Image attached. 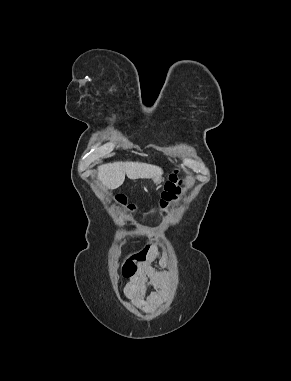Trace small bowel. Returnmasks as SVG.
Listing matches in <instances>:
<instances>
[{
  "label": "small bowel",
  "instance_id": "obj_1",
  "mask_svg": "<svg viewBox=\"0 0 291 381\" xmlns=\"http://www.w3.org/2000/svg\"><path fill=\"white\" fill-rule=\"evenodd\" d=\"M157 258V244L146 247L138 257L137 272L127 281L123 289L125 297L131 304L145 313L154 312L169 291V275L153 266ZM159 265L165 268L164 256L160 257Z\"/></svg>",
  "mask_w": 291,
  "mask_h": 381
}]
</instances>
